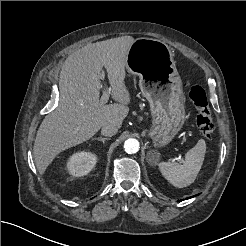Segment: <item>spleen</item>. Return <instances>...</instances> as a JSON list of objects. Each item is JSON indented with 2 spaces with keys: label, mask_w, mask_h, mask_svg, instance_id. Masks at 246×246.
<instances>
[{
  "label": "spleen",
  "mask_w": 246,
  "mask_h": 246,
  "mask_svg": "<svg viewBox=\"0 0 246 246\" xmlns=\"http://www.w3.org/2000/svg\"><path fill=\"white\" fill-rule=\"evenodd\" d=\"M206 153V143L200 139L197 144L185 154L183 164L176 162H160L158 164L162 175L175 187L184 188L191 185L202 167Z\"/></svg>",
  "instance_id": "3e777b00"
}]
</instances>
